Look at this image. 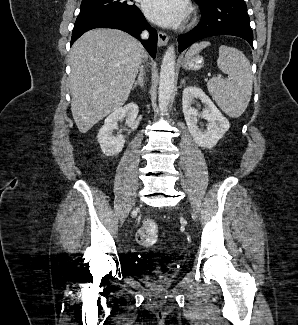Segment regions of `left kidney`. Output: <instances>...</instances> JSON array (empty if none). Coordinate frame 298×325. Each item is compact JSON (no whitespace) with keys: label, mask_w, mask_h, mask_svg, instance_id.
I'll return each mask as SVG.
<instances>
[{"label":"left kidney","mask_w":298,"mask_h":325,"mask_svg":"<svg viewBox=\"0 0 298 325\" xmlns=\"http://www.w3.org/2000/svg\"><path fill=\"white\" fill-rule=\"evenodd\" d=\"M194 98H200L204 104L205 108H202L201 112L191 106ZM182 110L188 130L198 146L212 148L224 136V132H227L230 126L226 116H223L221 110L215 106L211 98L199 86H185L182 92ZM199 116L207 120V130L198 128Z\"/></svg>","instance_id":"1"}]
</instances>
